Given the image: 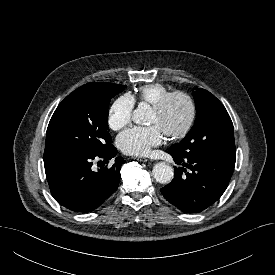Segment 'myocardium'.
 <instances>
[{
	"mask_svg": "<svg viewBox=\"0 0 275 275\" xmlns=\"http://www.w3.org/2000/svg\"><path fill=\"white\" fill-rule=\"evenodd\" d=\"M176 98L183 99L188 107V116L185 124L177 130H168L164 134L172 139L182 138L187 135L194 126L197 117V107L193 97L185 91H172L163 96L157 103L153 105V109L157 112H164L169 103Z\"/></svg>",
	"mask_w": 275,
	"mask_h": 275,
	"instance_id": "obj_1",
	"label": "myocardium"
}]
</instances>
